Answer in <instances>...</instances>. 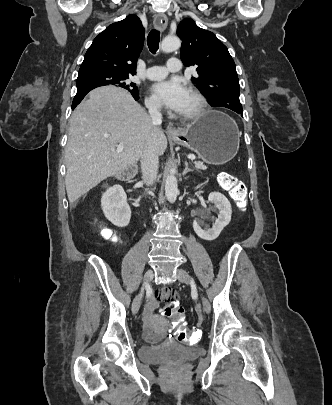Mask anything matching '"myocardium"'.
Returning a JSON list of instances; mask_svg holds the SVG:
<instances>
[{
  "instance_id": "1",
  "label": "myocardium",
  "mask_w": 332,
  "mask_h": 405,
  "mask_svg": "<svg viewBox=\"0 0 332 405\" xmlns=\"http://www.w3.org/2000/svg\"><path fill=\"white\" fill-rule=\"evenodd\" d=\"M188 92L192 95V97L196 101V108L195 110L187 115H179L180 119L186 120V121H192L200 118L202 114L204 113L207 102L204 97V95L195 87H189Z\"/></svg>"
}]
</instances>
